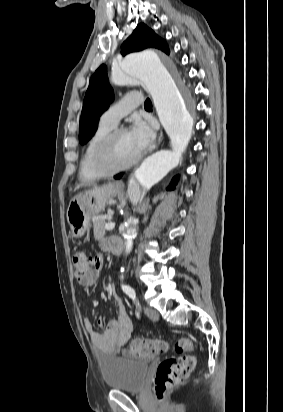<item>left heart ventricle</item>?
I'll list each match as a JSON object with an SVG mask.
<instances>
[{"label": "left heart ventricle", "mask_w": 283, "mask_h": 412, "mask_svg": "<svg viewBox=\"0 0 283 412\" xmlns=\"http://www.w3.org/2000/svg\"><path fill=\"white\" fill-rule=\"evenodd\" d=\"M139 152L135 148L129 133L123 132L115 140L112 161L117 165H122L133 160Z\"/></svg>", "instance_id": "b2bd125f"}]
</instances>
